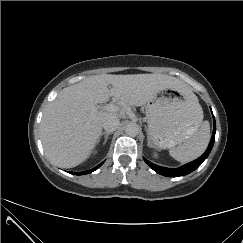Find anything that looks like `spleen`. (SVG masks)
Instances as JSON below:
<instances>
[{"instance_id": "1", "label": "spleen", "mask_w": 243, "mask_h": 243, "mask_svg": "<svg viewBox=\"0 0 243 243\" xmlns=\"http://www.w3.org/2000/svg\"><path fill=\"white\" fill-rule=\"evenodd\" d=\"M198 111L200 116L199 129L188 138L183 144L173 147L169 150L170 155L179 162H190L206 150L210 140V125L208 121L202 122L203 111L199 104Z\"/></svg>"}]
</instances>
